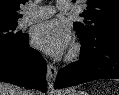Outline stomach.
I'll list each match as a JSON object with an SVG mask.
<instances>
[{"instance_id": "stomach-1", "label": "stomach", "mask_w": 119, "mask_h": 95, "mask_svg": "<svg viewBox=\"0 0 119 95\" xmlns=\"http://www.w3.org/2000/svg\"><path fill=\"white\" fill-rule=\"evenodd\" d=\"M67 95H87V93L82 91H72V92H69Z\"/></svg>"}]
</instances>
